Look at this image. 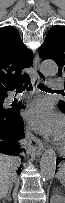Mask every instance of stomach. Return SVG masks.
Here are the masks:
<instances>
[{"mask_svg":"<svg viewBox=\"0 0 65 203\" xmlns=\"http://www.w3.org/2000/svg\"><path fill=\"white\" fill-rule=\"evenodd\" d=\"M64 177H65V171H64V174H63V176L61 177V178H62V180H64Z\"/></svg>","mask_w":65,"mask_h":203,"instance_id":"obj_1","label":"stomach"}]
</instances>
